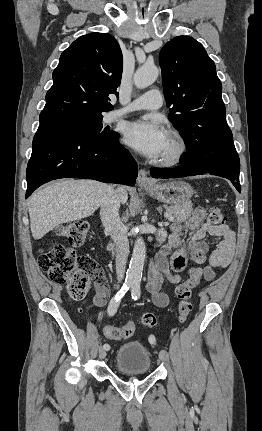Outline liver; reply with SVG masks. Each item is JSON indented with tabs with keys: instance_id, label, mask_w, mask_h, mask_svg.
Returning <instances> with one entry per match:
<instances>
[{
	"instance_id": "liver-1",
	"label": "liver",
	"mask_w": 262,
	"mask_h": 431,
	"mask_svg": "<svg viewBox=\"0 0 262 431\" xmlns=\"http://www.w3.org/2000/svg\"><path fill=\"white\" fill-rule=\"evenodd\" d=\"M110 186L95 180H61L35 192L28 201L32 236L38 240L63 223L91 216L101 205ZM120 202L126 203L124 188Z\"/></svg>"
}]
</instances>
